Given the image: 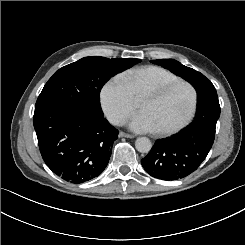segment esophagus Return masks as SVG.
I'll use <instances>...</instances> for the list:
<instances>
[{
  "instance_id": "esophagus-1",
  "label": "esophagus",
  "mask_w": 245,
  "mask_h": 245,
  "mask_svg": "<svg viewBox=\"0 0 245 245\" xmlns=\"http://www.w3.org/2000/svg\"><path fill=\"white\" fill-rule=\"evenodd\" d=\"M119 137L134 138V135H132V134H127V133H124V132H120V133H119Z\"/></svg>"
}]
</instances>
